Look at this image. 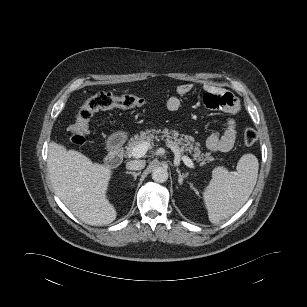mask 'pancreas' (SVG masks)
Here are the masks:
<instances>
[{
  "mask_svg": "<svg viewBox=\"0 0 307 307\" xmlns=\"http://www.w3.org/2000/svg\"><path fill=\"white\" fill-rule=\"evenodd\" d=\"M159 134L161 135L158 136ZM159 138L165 139L167 145L174 153L178 152L180 155L189 153L193 156L194 160L201 162L202 165L214 160L210 152L203 153L201 151L200 143L194 142L192 136L179 134L178 131L169 130L167 128H164L163 130H146L141 131L140 134H136L130 139L128 145L125 147V154L127 156L131 155L133 148L142 142H151L152 139L158 140Z\"/></svg>",
  "mask_w": 307,
  "mask_h": 307,
  "instance_id": "pancreas-1",
  "label": "pancreas"
}]
</instances>
